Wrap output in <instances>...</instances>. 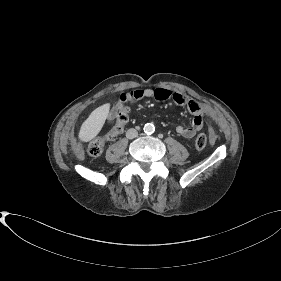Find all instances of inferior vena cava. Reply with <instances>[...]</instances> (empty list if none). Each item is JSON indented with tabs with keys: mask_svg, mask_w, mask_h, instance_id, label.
I'll return each mask as SVG.
<instances>
[{
	"mask_svg": "<svg viewBox=\"0 0 281 281\" xmlns=\"http://www.w3.org/2000/svg\"><path fill=\"white\" fill-rule=\"evenodd\" d=\"M137 135H138L137 130L133 129V128L127 130V132H126V137L128 139H133V138L137 137Z\"/></svg>",
	"mask_w": 281,
	"mask_h": 281,
	"instance_id": "obj_1",
	"label": "inferior vena cava"
}]
</instances>
